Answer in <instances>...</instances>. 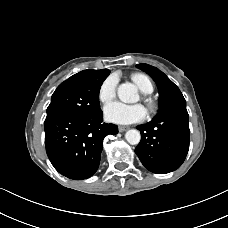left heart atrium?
Here are the masks:
<instances>
[{
  "label": "left heart atrium",
  "mask_w": 228,
  "mask_h": 228,
  "mask_svg": "<svg viewBox=\"0 0 228 228\" xmlns=\"http://www.w3.org/2000/svg\"><path fill=\"white\" fill-rule=\"evenodd\" d=\"M104 116L108 122L128 125L145 119L146 110L142 105H128L115 101L104 108Z\"/></svg>",
  "instance_id": "obj_1"
}]
</instances>
